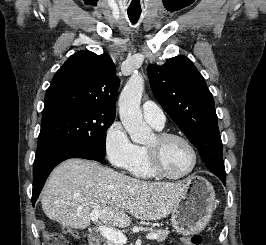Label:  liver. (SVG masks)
Masks as SVG:
<instances>
[{
	"label": "liver",
	"mask_w": 266,
	"mask_h": 245,
	"mask_svg": "<svg viewBox=\"0 0 266 245\" xmlns=\"http://www.w3.org/2000/svg\"><path fill=\"white\" fill-rule=\"evenodd\" d=\"M187 189L183 183L139 181L94 161L68 159L52 171L41 205L46 217L63 227L86 229L91 211L100 209L103 225L124 229L131 217L141 221L168 217Z\"/></svg>",
	"instance_id": "6515ba94"
}]
</instances>
